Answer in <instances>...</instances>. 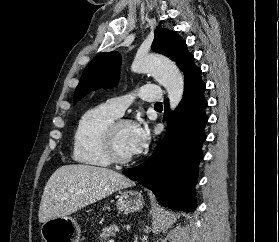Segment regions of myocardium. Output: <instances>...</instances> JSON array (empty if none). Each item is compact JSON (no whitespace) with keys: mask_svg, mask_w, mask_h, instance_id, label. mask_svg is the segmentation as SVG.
Instances as JSON below:
<instances>
[{"mask_svg":"<svg viewBox=\"0 0 279 242\" xmlns=\"http://www.w3.org/2000/svg\"><path fill=\"white\" fill-rule=\"evenodd\" d=\"M132 121L127 119H116L110 123L104 130L102 138L105 150L111 159L112 162L118 164H129L134 160V157H125L122 156L117 148L115 143V136L117 130L123 125H132Z\"/></svg>","mask_w":279,"mask_h":242,"instance_id":"obj_1","label":"myocardium"}]
</instances>
